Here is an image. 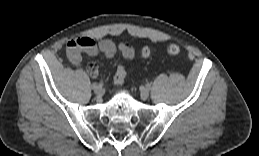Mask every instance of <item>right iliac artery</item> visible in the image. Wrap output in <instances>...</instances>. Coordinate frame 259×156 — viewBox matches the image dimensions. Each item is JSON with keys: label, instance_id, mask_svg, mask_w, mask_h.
<instances>
[{"label": "right iliac artery", "instance_id": "82829eb1", "mask_svg": "<svg viewBox=\"0 0 259 156\" xmlns=\"http://www.w3.org/2000/svg\"><path fill=\"white\" fill-rule=\"evenodd\" d=\"M97 86V83H93L92 88H95Z\"/></svg>", "mask_w": 259, "mask_h": 156}]
</instances>
